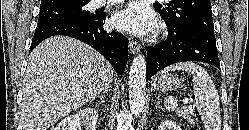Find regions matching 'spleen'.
Here are the masks:
<instances>
[{"instance_id":"spleen-1","label":"spleen","mask_w":249,"mask_h":130,"mask_svg":"<svg viewBox=\"0 0 249 130\" xmlns=\"http://www.w3.org/2000/svg\"><path fill=\"white\" fill-rule=\"evenodd\" d=\"M175 70L186 71L193 75V93L205 130H221L219 95L208 72L193 62H181L169 66L162 73ZM164 104L169 111H174L178 107L177 100L172 96L166 97Z\"/></svg>"}]
</instances>
